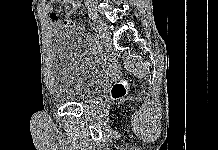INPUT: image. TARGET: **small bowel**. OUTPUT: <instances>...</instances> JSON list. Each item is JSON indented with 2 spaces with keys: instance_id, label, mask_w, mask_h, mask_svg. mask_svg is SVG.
Here are the masks:
<instances>
[{
  "instance_id": "small-bowel-1",
  "label": "small bowel",
  "mask_w": 218,
  "mask_h": 150,
  "mask_svg": "<svg viewBox=\"0 0 218 150\" xmlns=\"http://www.w3.org/2000/svg\"><path fill=\"white\" fill-rule=\"evenodd\" d=\"M78 1L79 0H48L45 6V10L49 15V22H50L51 29L53 31H58V30H70L76 32L81 31L82 28L71 20V16L77 10ZM54 2L70 3V8L66 13L65 19H61L54 11L53 9Z\"/></svg>"
}]
</instances>
